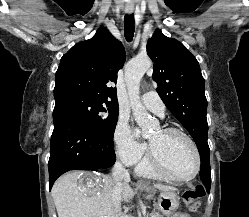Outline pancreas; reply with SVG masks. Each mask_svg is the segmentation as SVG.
I'll list each match as a JSON object with an SVG mask.
<instances>
[{
	"label": "pancreas",
	"mask_w": 249,
	"mask_h": 217,
	"mask_svg": "<svg viewBox=\"0 0 249 217\" xmlns=\"http://www.w3.org/2000/svg\"><path fill=\"white\" fill-rule=\"evenodd\" d=\"M150 217H162V216H160L158 213H152L150 214Z\"/></svg>",
	"instance_id": "1"
}]
</instances>
